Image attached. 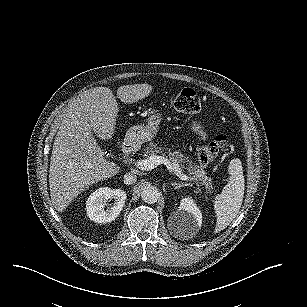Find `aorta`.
Here are the masks:
<instances>
[{
  "instance_id": "762f6f07",
  "label": "aorta",
  "mask_w": 307,
  "mask_h": 307,
  "mask_svg": "<svg viewBox=\"0 0 307 307\" xmlns=\"http://www.w3.org/2000/svg\"><path fill=\"white\" fill-rule=\"evenodd\" d=\"M160 190L152 185L145 186L141 191V198L146 203H155L160 198Z\"/></svg>"
}]
</instances>
